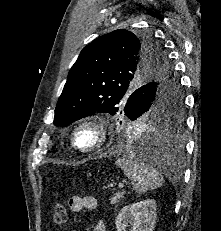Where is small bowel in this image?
Here are the masks:
<instances>
[{"label":"small bowel","instance_id":"small-bowel-1","mask_svg":"<svg viewBox=\"0 0 221 231\" xmlns=\"http://www.w3.org/2000/svg\"><path fill=\"white\" fill-rule=\"evenodd\" d=\"M69 207L73 212H79L83 209L95 211L98 203L93 196L74 195L69 199ZM92 231H106V226L102 221H98Z\"/></svg>","mask_w":221,"mask_h":231}]
</instances>
